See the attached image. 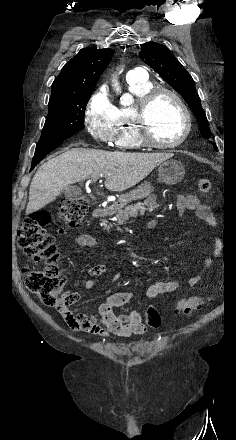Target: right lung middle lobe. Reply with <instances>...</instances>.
I'll use <instances>...</instances> for the list:
<instances>
[{"label":"right lung middle lobe","mask_w":236,"mask_h":440,"mask_svg":"<svg viewBox=\"0 0 236 440\" xmlns=\"http://www.w3.org/2000/svg\"><path fill=\"white\" fill-rule=\"evenodd\" d=\"M90 94L49 103V112L39 142L69 138L84 128V113Z\"/></svg>","instance_id":"right-lung-middle-lobe-1"}]
</instances>
